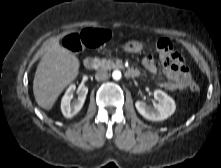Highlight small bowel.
Segmentation results:
<instances>
[{
	"mask_svg": "<svg viewBox=\"0 0 221 168\" xmlns=\"http://www.w3.org/2000/svg\"><path fill=\"white\" fill-rule=\"evenodd\" d=\"M160 57L164 66V74L169 79L167 82L160 83V86L170 91L187 88L191 78L187 60L174 51L172 54L160 55ZM142 64L149 72H156V64L151 55L145 56Z\"/></svg>",
	"mask_w": 221,
	"mask_h": 168,
	"instance_id": "1",
	"label": "small bowel"
}]
</instances>
